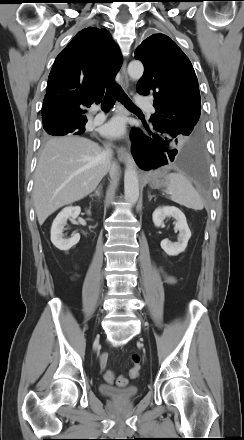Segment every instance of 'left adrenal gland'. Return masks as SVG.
<instances>
[{"mask_svg": "<svg viewBox=\"0 0 244 440\" xmlns=\"http://www.w3.org/2000/svg\"><path fill=\"white\" fill-rule=\"evenodd\" d=\"M155 197V195H149V201H151V199Z\"/></svg>", "mask_w": 244, "mask_h": 440, "instance_id": "left-adrenal-gland-1", "label": "left adrenal gland"}]
</instances>
